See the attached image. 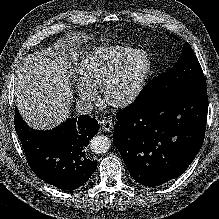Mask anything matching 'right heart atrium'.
Wrapping results in <instances>:
<instances>
[{
    "label": "right heart atrium",
    "mask_w": 219,
    "mask_h": 219,
    "mask_svg": "<svg viewBox=\"0 0 219 219\" xmlns=\"http://www.w3.org/2000/svg\"><path fill=\"white\" fill-rule=\"evenodd\" d=\"M76 92L79 99L86 104H92L96 100V90L86 85L81 80L76 82Z\"/></svg>",
    "instance_id": "d8ad5b80"
}]
</instances>
